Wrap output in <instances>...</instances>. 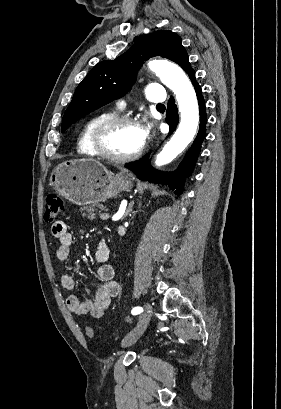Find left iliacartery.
<instances>
[{"label":"left iliac artery","instance_id":"obj_1","mask_svg":"<svg viewBox=\"0 0 281 409\" xmlns=\"http://www.w3.org/2000/svg\"><path fill=\"white\" fill-rule=\"evenodd\" d=\"M142 311H143L142 307H135L132 309V314L136 315V314L141 313Z\"/></svg>","mask_w":281,"mask_h":409}]
</instances>
